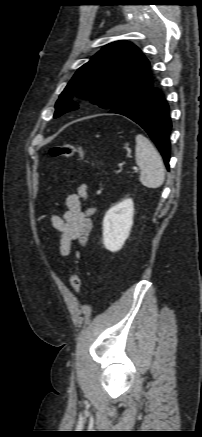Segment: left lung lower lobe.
<instances>
[{"label": "left lung lower lobe", "instance_id": "0a47b994", "mask_svg": "<svg viewBox=\"0 0 202 437\" xmlns=\"http://www.w3.org/2000/svg\"><path fill=\"white\" fill-rule=\"evenodd\" d=\"M109 113L124 115L139 124L156 144L169 169V135L172 125L169 106L159 88L152 85L147 90L112 108Z\"/></svg>", "mask_w": 202, "mask_h": 437}]
</instances>
